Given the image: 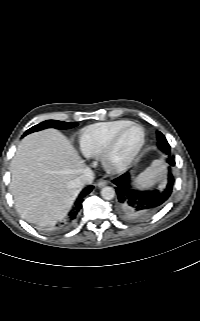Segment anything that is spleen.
Here are the masks:
<instances>
[{
	"label": "spleen",
	"mask_w": 200,
	"mask_h": 321,
	"mask_svg": "<svg viewBox=\"0 0 200 321\" xmlns=\"http://www.w3.org/2000/svg\"><path fill=\"white\" fill-rule=\"evenodd\" d=\"M167 164L163 158L154 160L152 164L141 172L134 180V185L138 188H149L157 182L163 181L166 176Z\"/></svg>",
	"instance_id": "spleen-1"
}]
</instances>
